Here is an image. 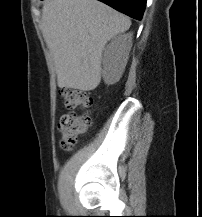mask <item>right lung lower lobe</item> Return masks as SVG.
Instances as JSON below:
<instances>
[{"label":"right lung lower lobe","instance_id":"98d812e1","mask_svg":"<svg viewBox=\"0 0 202 217\" xmlns=\"http://www.w3.org/2000/svg\"><path fill=\"white\" fill-rule=\"evenodd\" d=\"M114 9L134 18L141 20L147 0H99Z\"/></svg>","mask_w":202,"mask_h":217}]
</instances>
